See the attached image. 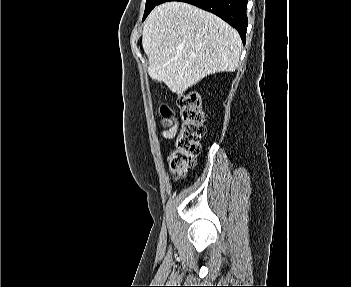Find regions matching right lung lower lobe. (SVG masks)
Returning <instances> with one entry per match:
<instances>
[{
	"mask_svg": "<svg viewBox=\"0 0 351 287\" xmlns=\"http://www.w3.org/2000/svg\"><path fill=\"white\" fill-rule=\"evenodd\" d=\"M168 1L186 2L217 15L239 32L245 44L247 0H160L158 5Z\"/></svg>",
	"mask_w": 351,
	"mask_h": 287,
	"instance_id": "right-lung-lower-lobe-1",
	"label": "right lung lower lobe"
}]
</instances>
